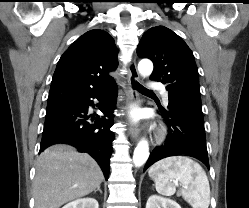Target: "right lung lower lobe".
Instances as JSON below:
<instances>
[{"label":"right lung lower lobe","mask_w":249,"mask_h":208,"mask_svg":"<svg viewBox=\"0 0 249 208\" xmlns=\"http://www.w3.org/2000/svg\"><path fill=\"white\" fill-rule=\"evenodd\" d=\"M110 86L116 87L114 83ZM106 89L99 90L90 95L49 102L46 109V119L40 144V152L47 147L57 144H70L80 152L89 153L100 165L106 180L108 179L112 141L114 133L110 131L112 119L104 117H91L93 124L87 120L88 107L94 106L92 98L101 100ZM117 88L111 99L100 110L108 118L113 117L116 107Z\"/></svg>","instance_id":"obj_1"}]
</instances>
